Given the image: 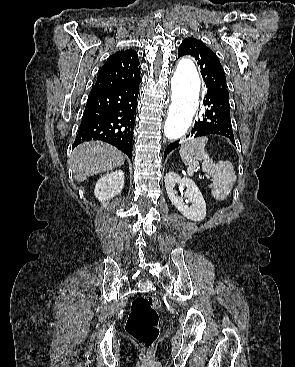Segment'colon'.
Here are the masks:
<instances>
[{"mask_svg": "<svg viewBox=\"0 0 295 367\" xmlns=\"http://www.w3.org/2000/svg\"><path fill=\"white\" fill-rule=\"evenodd\" d=\"M160 301L153 295L136 297L126 321L127 333L150 353L159 336Z\"/></svg>", "mask_w": 295, "mask_h": 367, "instance_id": "obj_1", "label": "colon"}]
</instances>
